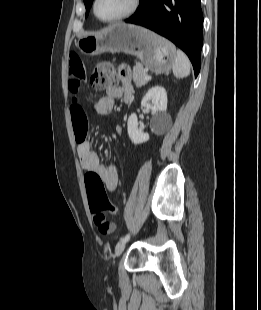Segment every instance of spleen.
<instances>
[{
  "label": "spleen",
  "instance_id": "3e777b00",
  "mask_svg": "<svg viewBox=\"0 0 261 310\" xmlns=\"http://www.w3.org/2000/svg\"><path fill=\"white\" fill-rule=\"evenodd\" d=\"M172 70L176 78H184L190 74L191 66L189 59L181 50L176 51V58Z\"/></svg>",
  "mask_w": 261,
  "mask_h": 310
}]
</instances>
